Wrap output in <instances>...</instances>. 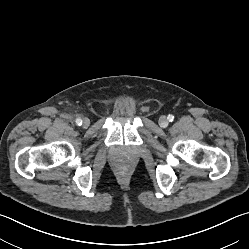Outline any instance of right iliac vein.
<instances>
[{"label": "right iliac vein", "instance_id": "obj_1", "mask_svg": "<svg viewBox=\"0 0 249 249\" xmlns=\"http://www.w3.org/2000/svg\"><path fill=\"white\" fill-rule=\"evenodd\" d=\"M89 124H90V120H89L88 118H84V119H83V122H82V126H83L84 128H86V127L89 126Z\"/></svg>", "mask_w": 249, "mask_h": 249}]
</instances>
